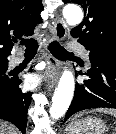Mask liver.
<instances>
[{
  "instance_id": "1",
  "label": "liver",
  "mask_w": 116,
  "mask_h": 134,
  "mask_svg": "<svg viewBox=\"0 0 116 134\" xmlns=\"http://www.w3.org/2000/svg\"><path fill=\"white\" fill-rule=\"evenodd\" d=\"M0 134H17V131L7 123L0 121Z\"/></svg>"
}]
</instances>
